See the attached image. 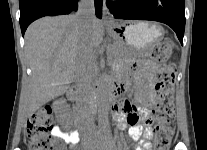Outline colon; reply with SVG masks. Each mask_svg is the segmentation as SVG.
Returning a JSON list of instances; mask_svg holds the SVG:
<instances>
[{"instance_id":"1","label":"colon","mask_w":207,"mask_h":150,"mask_svg":"<svg viewBox=\"0 0 207 150\" xmlns=\"http://www.w3.org/2000/svg\"><path fill=\"white\" fill-rule=\"evenodd\" d=\"M170 46L166 41L157 43L153 49L152 58L160 63L155 73L158 104L154 110L151 123L154 132L157 150H167L174 129V91H175V66L165 64L170 55ZM53 127L51 109L42 107L33 113L27 123L29 150H62L59 142L49 132Z\"/></svg>"}]
</instances>
